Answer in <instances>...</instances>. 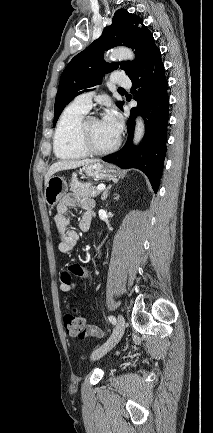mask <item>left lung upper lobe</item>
<instances>
[{
	"label": "left lung upper lobe",
	"instance_id": "5c2ea615",
	"mask_svg": "<svg viewBox=\"0 0 213 433\" xmlns=\"http://www.w3.org/2000/svg\"><path fill=\"white\" fill-rule=\"evenodd\" d=\"M124 45L135 50L134 61L106 63L103 59L105 50ZM156 48L154 38L140 17L119 9L113 16L110 26L102 35L85 50L77 54L64 69L55 99V126L65 106L77 95L90 91L97 85L104 72L124 70L131 77L145 62L152 50ZM122 108L123 102L117 103Z\"/></svg>",
	"mask_w": 213,
	"mask_h": 433
}]
</instances>
